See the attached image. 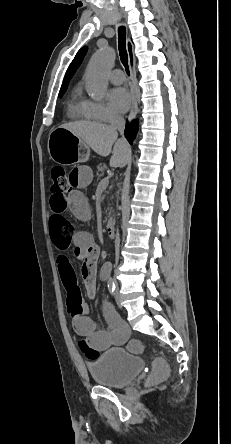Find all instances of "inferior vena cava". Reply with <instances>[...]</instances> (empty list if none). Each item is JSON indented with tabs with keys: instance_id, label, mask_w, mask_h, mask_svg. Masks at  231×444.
I'll return each mask as SVG.
<instances>
[{
	"instance_id": "1",
	"label": "inferior vena cava",
	"mask_w": 231,
	"mask_h": 444,
	"mask_svg": "<svg viewBox=\"0 0 231 444\" xmlns=\"http://www.w3.org/2000/svg\"><path fill=\"white\" fill-rule=\"evenodd\" d=\"M110 127L115 130V131H119L121 134H123L124 132V128H125V120L122 116L118 115V114H113L111 116L110 119ZM117 224L119 225L118 227H116V234L119 236L122 232V227L120 226L121 223V219L117 218L116 219ZM115 248H116V259H118V254H119V238H117L116 240V244H115Z\"/></svg>"
}]
</instances>
